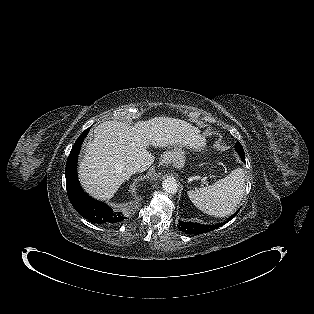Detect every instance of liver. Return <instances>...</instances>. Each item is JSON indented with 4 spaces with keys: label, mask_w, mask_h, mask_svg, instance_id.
Returning a JSON list of instances; mask_svg holds the SVG:
<instances>
[{
    "label": "liver",
    "mask_w": 314,
    "mask_h": 314,
    "mask_svg": "<svg viewBox=\"0 0 314 314\" xmlns=\"http://www.w3.org/2000/svg\"><path fill=\"white\" fill-rule=\"evenodd\" d=\"M203 143L191 124L171 117H155L129 126L118 121H105L94 129L93 140L85 145L79 164V178L92 196L106 200L130 178L127 167L139 163L145 171L154 162L147 148L174 145L198 147Z\"/></svg>",
    "instance_id": "1"
}]
</instances>
